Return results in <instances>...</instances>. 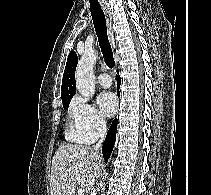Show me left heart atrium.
<instances>
[{
    "label": "left heart atrium",
    "mask_w": 211,
    "mask_h": 195,
    "mask_svg": "<svg viewBox=\"0 0 211 195\" xmlns=\"http://www.w3.org/2000/svg\"><path fill=\"white\" fill-rule=\"evenodd\" d=\"M97 103L101 112L107 117L113 116L117 111V99L111 92L101 93L98 96Z\"/></svg>",
    "instance_id": "left-heart-atrium-1"
}]
</instances>
